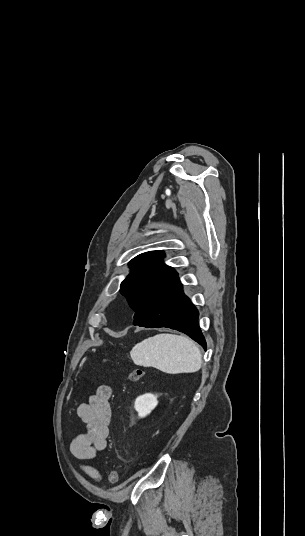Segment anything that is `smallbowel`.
Masks as SVG:
<instances>
[{
  "label": "small bowel",
  "instance_id": "1",
  "mask_svg": "<svg viewBox=\"0 0 305 536\" xmlns=\"http://www.w3.org/2000/svg\"><path fill=\"white\" fill-rule=\"evenodd\" d=\"M112 389L102 385L87 403L78 406L77 414L85 424V431L77 435L71 443V452L79 460L93 459L97 452L107 446L110 432ZM85 471L94 479H99L98 472L85 467Z\"/></svg>",
  "mask_w": 305,
  "mask_h": 536
}]
</instances>
